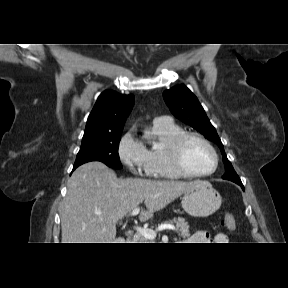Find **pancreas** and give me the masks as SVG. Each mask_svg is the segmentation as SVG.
I'll list each match as a JSON object with an SVG mask.
<instances>
[{"instance_id":"1","label":"pancreas","mask_w":288,"mask_h":288,"mask_svg":"<svg viewBox=\"0 0 288 288\" xmlns=\"http://www.w3.org/2000/svg\"><path fill=\"white\" fill-rule=\"evenodd\" d=\"M169 223L176 224V227L179 231V235L181 237L188 238L190 236L189 225L184 218L182 217L174 218L173 220H169ZM147 242H148L147 239L142 235H140L139 233L134 238V243H147Z\"/></svg>"}]
</instances>
